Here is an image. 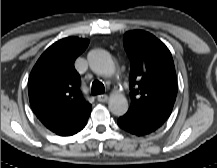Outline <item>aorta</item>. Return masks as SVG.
I'll use <instances>...</instances> for the list:
<instances>
[{"instance_id":"1","label":"aorta","mask_w":217,"mask_h":168,"mask_svg":"<svg viewBox=\"0 0 217 168\" xmlns=\"http://www.w3.org/2000/svg\"><path fill=\"white\" fill-rule=\"evenodd\" d=\"M87 60L94 73L104 77L114 74V62L106 51L93 49L88 53ZM108 107L112 114L122 116L128 111V101L122 93L113 92L109 97Z\"/></svg>"}]
</instances>
